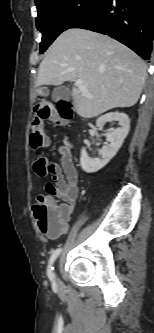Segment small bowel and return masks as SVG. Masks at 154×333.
<instances>
[{
  "label": "small bowel",
  "instance_id": "c3829d8e",
  "mask_svg": "<svg viewBox=\"0 0 154 333\" xmlns=\"http://www.w3.org/2000/svg\"><path fill=\"white\" fill-rule=\"evenodd\" d=\"M59 153L61 155V165L54 162L49 163V174L52 177L53 184H46L45 189L49 194L55 195L64 201L62 206L67 210V217H69L75 208L79 195L78 173L74 165L71 145L66 143L60 146ZM66 230L67 226L60 233Z\"/></svg>",
  "mask_w": 154,
  "mask_h": 333
}]
</instances>
